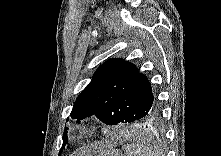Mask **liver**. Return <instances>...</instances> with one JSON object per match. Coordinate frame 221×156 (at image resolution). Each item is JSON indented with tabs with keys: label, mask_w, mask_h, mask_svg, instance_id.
Wrapping results in <instances>:
<instances>
[{
	"label": "liver",
	"mask_w": 221,
	"mask_h": 156,
	"mask_svg": "<svg viewBox=\"0 0 221 156\" xmlns=\"http://www.w3.org/2000/svg\"><path fill=\"white\" fill-rule=\"evenodd\" d=\"M104 148H105V145L92 146V147H90V148L86 151V153H87L88 155H93V154L96 153L97 151L102 150V149H104Z\"/></svg>",
	"instance_id": "liver-1"
}]
</instances>
